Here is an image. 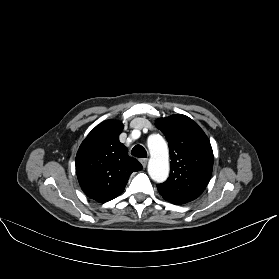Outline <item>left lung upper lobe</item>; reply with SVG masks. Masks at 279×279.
Instances as JSON below:
<instances>
[{"instance_id": "left-lung-upper-lobe-1", "label": "left lung upper lobe", "mask_w": 279, "mask_h": 279, "mask_svg": "<svg viewBox=\"0 0 279 279\" xmlns=\"http://www.w3.org/2000/svg\"><path fill=\"white\" fill-rule=\"evenodd\" d=\"M169 143L171 170L157 185L160 195L173 204L198 198L206 188L213 169V151L203 130L189 117L175 114L156 120Z\"/></svg>"}]
</instances>
